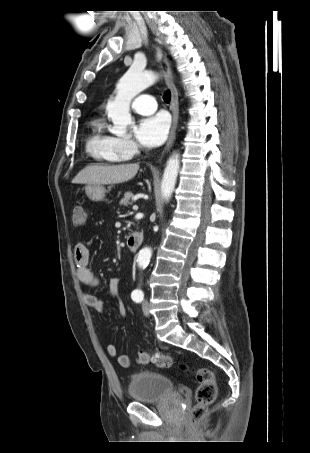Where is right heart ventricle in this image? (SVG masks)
Masks as SVG:
<instances>
[{"label":"right heart ventricle","instance_id":"obj_1","mask_svg":"<svg viewBox=\"0 0 310 453\" xmlns=\"http://www.w3.org/2000/svg\"><path fill=\"white\" fill-rule=\"evenodd\" d=\"M86 151L96 161L104 163H119L128 158L120 151L116 138L106 131L100 118H94L90 122Z\"/></svg>","mask_w":310,"mask_h":453}]
</instances>
